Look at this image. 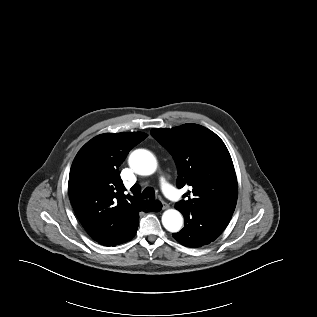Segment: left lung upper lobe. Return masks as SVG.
Returning a JSON list of instances; mask_svg holds the SVG:
<instances>
[{"instance_id": "1", "label": "left lung upper lobe", "mask_w": 317, "mask_h": 317, "mask_svg": "<svg viewBox=\"0 0 317 317\" xmlns=\"http://www.w3.org/2000/svg\"><path fill=\"white\" fill-rule=\"evenodd\" d=\"M152 136L172 155L177 166V186H191L187 201L176 203L179 211L210 208L233 214L237 202V178L223 141L198 124L172 129H153ZM191 193V194H190Z\"/></svg>"}]
</instances>
